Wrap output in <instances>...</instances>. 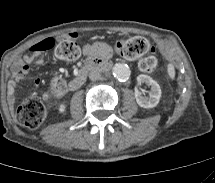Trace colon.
Segmentation results:
<instances>
[{"instance_id": "obj_1", "label": "colon", "mask_w": 215, "mask_h": 183, "mask_svg": "<svg viewBox=\"0 0 215 183\" xmlns=\"http://www.w3.org/2000/svg\"><path fill=\"white\" fill-rule=\"evenodd\" d=\"M54 44L50 40L38 44V49H50ZM117 51L126 59L134 60L148 53H153L155 48L143 37H133L119 42ZM55 54L60 59L74 60L80 55L79 45L72 39L59 42L55 47ZM139 68L142 72L152 73L158 69V61L155 56L148 55L140 59ZM66 90V84L62 79L51 82L48 89L41 97L31 98L20 104L16 109V119L19 124L29 129H36L45 121L48 107L57 100Z\"/></svg>"}]
</instances>
